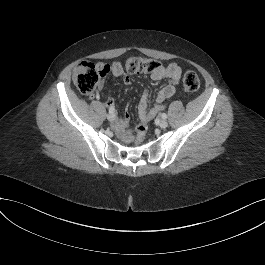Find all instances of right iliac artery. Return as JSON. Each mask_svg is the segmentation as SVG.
I'll return each mask as SVG.
<instances>
[{
  "label": "right iliac artery",
  "mask_w": 265,
  "mask_h": 265,
  "mask_svg": "<svg viewBox=\"0 0 265 265\" xmlns=\"http://www.w3.org/2000/svg\"><path fill=\"white\" fill-rule=\"evenodd\" d=\"M109 112H113V110L112 109H109Z\"/></svg>",
  "instance_id": "right-iliac-artery-1"
}]
</instances>
